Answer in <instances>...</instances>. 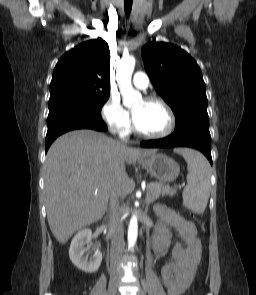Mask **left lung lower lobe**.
Instances as JSON below:
<instances>
[{"instance_id": "1", "label": "left lung lower lobe", "mask_w": 256, "mask_h": 295, "mask_svg": "<svg viewBox=\"0 0 256 295\" xmlns=\"http://www.w3.org/2000/svg\"><path fill=\"white\" fill-rule=\"evenodd\" d=\"M141 146L145 148L191 147L201 151L212 164L209 129L186 127L166 138L142 142Z\"/></svg>"}]
</instances>
